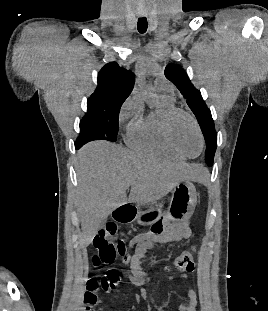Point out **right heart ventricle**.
Masks as SVG:
<instances>
[{"instance_id": "e07e8e85", "label": "right heart ventricle", "mask_w": 268, "mask_h": 311, "mask_svg": "<svg viewBox=\"0 0 268 311\" xmlns=\"http://www.w3.org/2000/svg\"><path fill=\"white\" fill-rule=\"evenodd\" d=\"M159 101L160 105L157 108L136 116L127 130V143L143 153L183 161L185 158L168 145L162 126L164 114L169 108L175 107V100L170 95L160 94Z\"/></svg>"}]
</instances>
